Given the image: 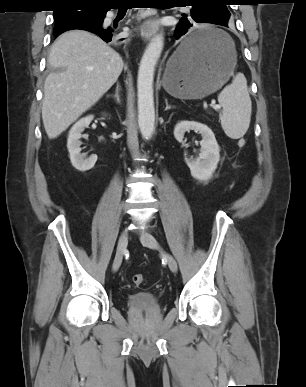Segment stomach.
Listing matches in <instances>:
<instances>
[{"label":"stomach","instance_id":"obj_1","mask_svg":"<svg viewBox=\"0 0 306 387\" xmlns=\"http://www.w3.org/2000/svg\"><path fill=\"white\" fill-rule=\"evenodd\" d=\"M200 30L217 34L212 46L194 55H184L180 45L167 61L163 87L174 97L204 98L222 87L235 70L237 55L232 39L217 28Z\"/></svg>","mask_w":306,"mask_h":387}]
</instances>
